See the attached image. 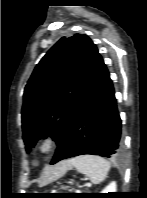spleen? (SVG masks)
Masks as SVG:
<instances>
[{
    "instance_id": "spleen-1",
    "label": "spleen",
    "mask_w": 147,
    "mask_h": 198,
    "mask_svg": "<svg viewBox=\"0 0 147 198\" xmlns=\"http://www.w3.org/2000/svg\"><path fill=\"white\" fill-rule=\"evenodd\" d=\"M71 161L72 166L79 173L87 175L94 184L104 181L111 167L109 161L96 155H81Z\"/></svg>"
}]
</instances>
